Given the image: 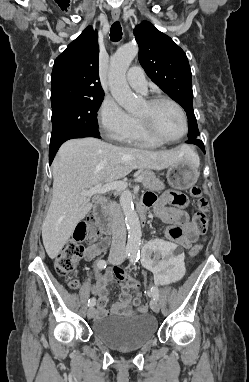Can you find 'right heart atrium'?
Here are the masks:
<instances>
[{
  "label": "right heart atrium",
  "instance_id": "obj_1",
  "mask_svg": "<svg viewBox=\"0 0 249 382\" xmlns=\"http://www.w3.org/2000/svg\"><path fill=\"white\" fill-rule=\"evenodd\" d=\"M98 122L106 138L119 142H123L133 133L136 123L135 119L110 97L102 101L98 111Z\"/></svg>",
  "mask_w": 249,
  "mask_h": 382
}]
</instances>
